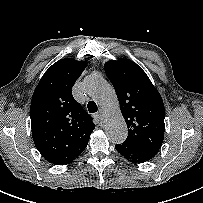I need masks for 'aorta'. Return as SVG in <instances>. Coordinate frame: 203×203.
Returning <instances> with one entry per match:
<instances>
[{
  "instance_id": "1",
  "label": "aorta",
  "mask_w": 203,
  "mask_h": 203,
  "mask_svg": "<svg viewBox=\"0 0 203 203\" xmlns=\"http://www.w3.org/2000/svg\"><path fill=\"white\" fill-rule=\"evenodd\" d=\"M84 88L103 110L109 141L113 144L123 143L128 129L113 87L102 77L92 74L84 80Z\"/></svg>"
}]
</instances>
